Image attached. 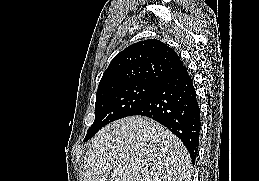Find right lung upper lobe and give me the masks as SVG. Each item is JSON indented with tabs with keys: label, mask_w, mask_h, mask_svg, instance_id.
I'll list each match as a JSON object with an SVG mask.
<instances>
[{
	"label": "right lung upper lobe",
	"mask_w": 259,
	"mask_h": 181,
	"mask_svg": "<svg viewBox=\"0 0 259 181\" xmlns=\"http://www.w3.org/2000/svg\"><path fill=\"white\" fill-rule=\"evenodd\" d=\"M183 65L167 44L149 39L128 46L116 55L104 72L98 92L134 83H157Z\"/></svg>",
	"instance_id": "right-lung-upper-lobe-1"
}]
</instances>
